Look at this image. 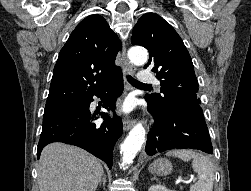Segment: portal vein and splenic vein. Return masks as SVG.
I'll return each mask as SVG.
<instances>
[{
    "label": "portal vein and splenic vein",
    "instance_id": "portal-vein-and-splenic-vein-1",
    "mask_svg": "<svg viewBox=\"0 0 251 191\" xmlns=\"http://www.w3.org/2000/svg\"><path fill=\"white\" fill-rule=\"evenodd\" d=\"M177 181H184V179H177ZM188 181L195 182V181H196V178H195V177H192L191 179H187L186 183H188Z\"/></svg>",
    "mask_w": 251,
    "mask_h": 191
}]
</instances>
